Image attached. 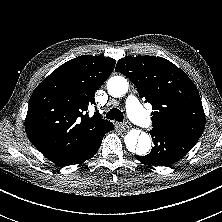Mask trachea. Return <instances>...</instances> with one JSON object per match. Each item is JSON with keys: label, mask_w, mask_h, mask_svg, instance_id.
Instances as JSON below:
<instances>
[{"label": "trachea", "mask_w": 222, "mask_h": 222, "mask_svg": "<svg viewBox=\"0 0 222 222\" xmlns=\"http://www.w3.org/2000/svg\"><path fill=\"white\" fill-rule=\"evenodd\" d=\"M106 118L110 120H115L118 122H122L124 119L123 113L117 109V108H112L108 111L106 114Z\"/></svg>", "instance_id": "obj_1"}]
</instances>
